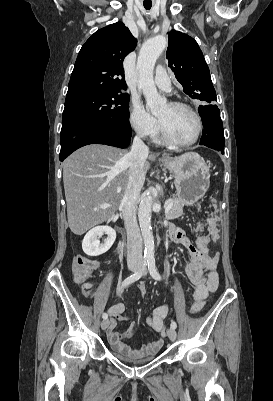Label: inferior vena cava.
<instances>
[{
  "mask_svg": "<svg viewBox=\"0 0 273 401\" xmlns=\"http://www.w3.org/2000/svg\"><path fill=\"white\" fill-rule=\"evenodd\" d=\"M149 148L140 136H134L132 148L125 158L129 166V176L124 196L121 201L122 215L127 231V259L142 261V239L136 219L140 190L145 180L144 162L148 156Z\"/></svg>",
  "mask_w": 273,
  "mask_h": 401,
  "instance_id": "1",
  "label": "inferior vena cava"
}]
</instances>
